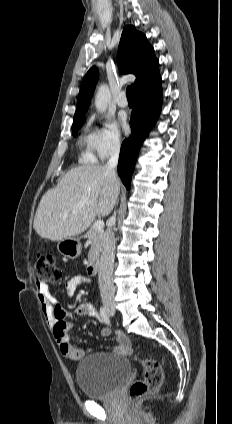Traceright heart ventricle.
Wrapping results in <instances>:
<instances>
[{
  "label": "right heart ventricle",
  "instance_id": "e07e8e85",
  "mask_svg": "<svg viewBox=\"0 0 232 424\" xmlns=\"http://www.w3.org/2000/svg\"><path fill=\"white\" fill-rule=\"evenodd\" d=\"M93 132L88 128H85L78 137V160L81 164L92 165L97 162L93 147Z\"/></svg>",
  "mask_w": 232,
  "mask_h": 424
}]
</instances>
